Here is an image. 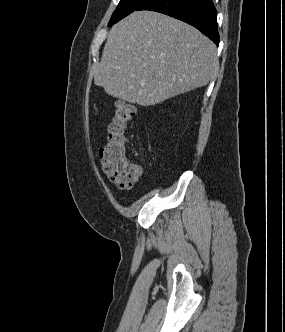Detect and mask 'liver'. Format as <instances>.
<instances>
[{
  "label": "liver",
  "instance_id": "obj_1",
  "mask_svg": "<svg viewBox=\"0 0 285 332\" xmlns=\"http://www.w3.org/2000/svg\"><path fill=\"white\" fill-rule=\"evenodd\" d=\"M215 44L191 25L153 11L115 24L94 84L115 98L152 106L203 87L217 72Z\"/></svg>",
  "mask_w": 285,
  "mask_h": 332
}]
</instances>
